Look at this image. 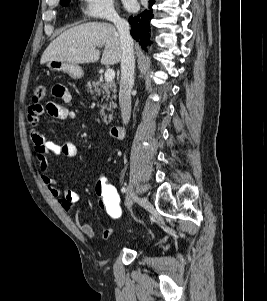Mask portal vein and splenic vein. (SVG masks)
Instances as JSON below:
<instances>
[{
    "label": "portal vein and splenic vein",
    "instance_id": "obj_1",
    "mask_svg": "<svg viewBox=\"0 0 267 301\" xmlns=\"http://www.w3.org/2000/svg\"><path fill=\"white\" fill-rule=\"evenodd\" d=\"M115 78V71L113 69H107L105 72V81L112 82L113 79Z\"/></svg>",
    "mask_w": 267,
    "mask_h": 301
}]
</instances>
